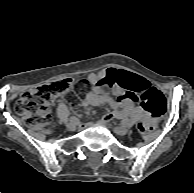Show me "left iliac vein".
<instances>
[{
	"label": "left iliac vein",
	"mask_w": 194,
	"mask_h": 193,
	"mask_svg": "<svg viewBox=\"0 0 194 193\" xmlns=\"http://www.w3.org/2000/svg\"><path fill=\"white\" fill-rule=\"evenodd\" d=\"M115 133L124 136L128 133V129L125 126H119L114 129Z\"/></svg>",
	"instance_id": "left-iliac-vein-1"
}]
</instances>
